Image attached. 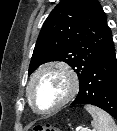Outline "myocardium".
Wrapping results in <instances>:
<instances>
[{
	"label": "myocardium",
	"instance_id": "1",
	"mask_svg": "<svg viewBox=\"0 0 117 131\" xmlns=\"http://www.w3.org/2000/svg\"><path fill=\"white\" fill-rule=\"evenodd\" d=\"M48 70H60L61 72H63L66 75V77L68 78L69 88H68V92L65 95V97L58 104H56L54 107L48 110H41L37 106L35 99H34L33 85L36 79L43 72L48 71ZM78 89H79V79H78L76 72L72 68H70L67 64L63 62H49V63H46L40 66L31 76L28 86H27V97H28L30 106L36 113L50 114V113H53L61 109L67 103H69L74 98V96L77 94Z\"/></svg>",
	"mask_w": 117,
	"mask_h": 131
}]
</instances>
